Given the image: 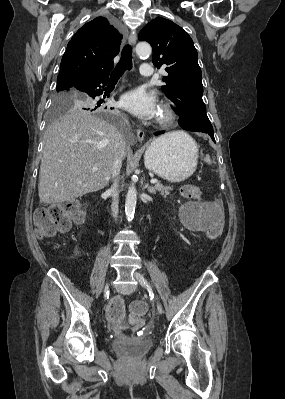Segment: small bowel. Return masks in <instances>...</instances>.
I'll list each match as a JSON object with an SVG mask.
<instances>
[{"label": "small bowel", "mask_w": 285, "mask_h": 399, "mask_svg": "<svg viewBox=\"0 0 285 399\" xmlns=\"http://www.w3.org/2000/svg\"><path fill=\"white\" fill-rule=\"evenodd\" d=\"M218 203V201H207L202 205H190L181 215L186 230L190 233H204L214 228L219 222V214L215 210ZM106 316L113 327L125 328V304L121 297L117 296L112 299ZM132 322L138 324L135 318H132Z\"/></svg>", "instance_id": "obj_1"}]
</instances>
